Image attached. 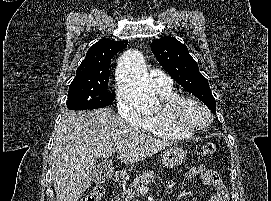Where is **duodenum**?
<instances>
[{
    "mask_svg": "<svg viewBox=\"0 0 271 201\" xmlns=\"http://www.w3.org/2000/svg\"><path fill=\"white\" fill-rule=\"evenodd\" d=\"M125 181H126L125 173L122 171H117L114 177V183L116 185H121L125 183Z\"/></svg>",
    "mask_w": 271,
    "mask_h": 201,
    "instance_id": "duodenum-1",
    "label": "duodenum"
}]
</instances>
